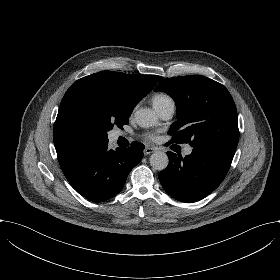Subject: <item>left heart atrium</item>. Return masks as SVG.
<instances>
[{"label":"left heart atrium","mask_w":280,"mask_h":280,"mask_svg":"<svg viewBox=\"0 0 280 280\" xmlns=\"http://www.w3.org/2000/svg\"><path fill=\"white\" fill-rule=\"evenodd\" d=\"M144 137L146 138V139H154V136L152 135V134H145L144 135Z\"/></svg>","instance_id":"obj_1"}]
</instances>
